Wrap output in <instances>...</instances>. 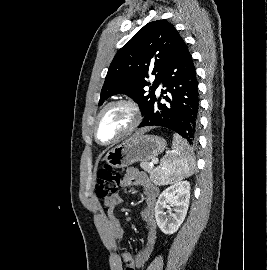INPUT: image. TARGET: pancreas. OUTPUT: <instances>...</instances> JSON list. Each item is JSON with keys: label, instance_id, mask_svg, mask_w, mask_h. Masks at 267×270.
I'll return each mask as SVG.
<instances>
[{"label": "pancreas", "instance_id": "1", "mask_svg": "<svg viewBox=\"0 0 267 270\" xmlns=\"http://www.w3.org/2000/svg\"><path fill=\"white\" fill-rule=\"evenodd\" d=\"M140 166L143 170L150 173V178L155 184H159L160 177L158 175V168L151 167L146 161L141 162Z\"/></svg>", "mask_w": 267, "mask_h": 270}]
</instances>
